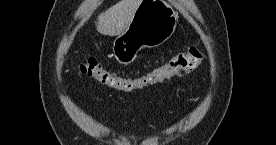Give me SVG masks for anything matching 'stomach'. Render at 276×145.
Here are the masks:
<instances>
[{"instance_id": "obj_1", "label": "stomach", "mask_w": 276, "mask_h": 145, "mask_svg": "<svg viewBox=\"0 0 276 145\" xmlns=\"http://www.w3.org/2000/svg\"><path fill=\"white\" fill-rule=\"evenodd\" d=\"M176 25L177 14L164 0H141L127 29L113 42L115 58L121 64H129L139 50L167 41Z\"/></svg>"}]
</instances>
